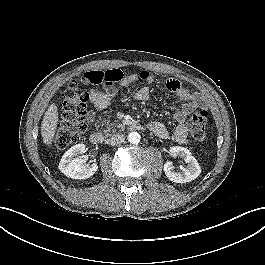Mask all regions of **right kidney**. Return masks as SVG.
Returning <instances> with one entry per match:
<instances>
[{
	"instance_id": "1",
	"label": "right kidney",
	"mask_w": 265,
	"mask_h": 265,
	"mask_svg": "<svg viewBox=\"0 0 265 265\" xmlns=\"http://www.w3.org/2000/svg\"><path fill=\"white\" fill-rule=\"evenodd\" d=\"M87 151L86 144H77L71 147L62 156L59 163V169L64 175L73 179H87L95 174L98 169V165L93 163L91 165L86 164V159L79 157L74 158L77 155L85 153Z\"/></svg>"
}]
</instances>
